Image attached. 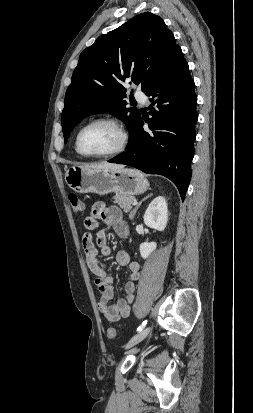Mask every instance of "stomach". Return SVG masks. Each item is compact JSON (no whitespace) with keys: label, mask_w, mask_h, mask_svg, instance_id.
<instances>
[{"label":"stomach","mask_w":253,"mask_h":413,"mask_svg":"<svg viewBox=\"0 0 253 413\" xmlns=\"http://www.w3.org/2000/svg\"><path fill=\"white\" fill-rule=\"evenodd\" d=\"M65 182L75 192L99 195L114 192L132 196L144 193L149 187L147 179L139 170L124 167L99 170L73 166L66 170Z\"/></svg>","instance_id":"obj_1"}]
</instances>
